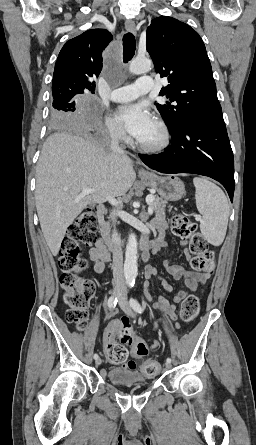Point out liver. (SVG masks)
Instances as JSON below:
<instances>
[{
  "label": "liver",
  "instance_id": "6515ba94",
  "mask_svg": "<svg viewBox=\"0 0 256 445\" xmlns=\"http://www.w3.org/2000/svg\"><path fill=\"white\" fill-rule=\"evenodd\" d=\"M136 179L124 152L108 151L86 136L54 133L43 144L36 168V208L46 243L56 256L67 228L88 205L122 196ZM84 188L95 192L81 197Z\"/></svg>",
  "mask_w": 256,
  "mask_h": 445
}]
</instances>
